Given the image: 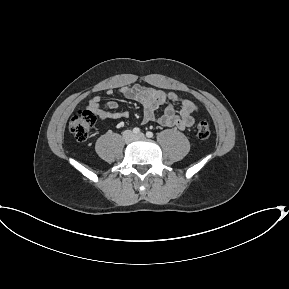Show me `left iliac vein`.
<instances>
[{"label": "left iliac vein", "mask_w": 289, "mask_h": 289, "mask_svg": "<svg viewBox=\"0 0 289 289\" xmlns=\"http://www.w3.org/2000/svg\"><path fill=\"white\" fill-rule=\"evenodd\" d=\"M145 135L143 133H139L138 135L135 136V139H144Z\"/></svg>", "instance_id": "1"}]
</instances>
